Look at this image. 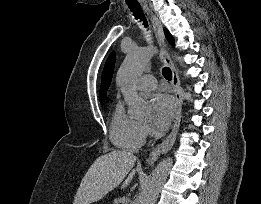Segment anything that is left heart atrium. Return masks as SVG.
I'll return each instance as SVG.
<instances>
[{
    "instance_id": "obj_1",
    "label": "left heart atrium",
    "mask_w": 261,
    "mask_h": 204,
    "mask_svg": "<svg viewBox=\"0 0 261 204\" xmlns=\"http://www.w3.org/2000/svg\"><path fill=\"white\" fill-rule=\"evenodd\" d=\"M175 113L173 99L166 94H156L152 99V123L158 130H166Z\"/></svg>"
}]
</instances>
